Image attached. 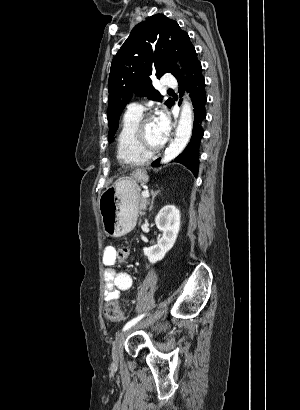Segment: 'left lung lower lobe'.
Instances as JSON below:
<instances>
[{
    "label": "left lung lower lobe",
    "mask_w": 300,
    "mask_h": 410,
    "mask_svg": "<svg viewBox=\"0 0 300 410\" xmlns=\"http://www.w3.org/2000/svg\"><path fill=\"white\" fill-rule=\"evenodd\" d=\"M186 73L188 75L186 77V88L191 92L190 97L194 107L193 134L188 146L174 159V162L183 164L190 169L195 176H197L199 168V145L201 138L204 135L202 123L206 118L205 104L207 98L205 93V80L202 75V66L196 53L192 56ZM177 81L179 84V91L182 93L184 89L183 77H179ZM159 160L160 159L153 162L152 165L158 166Z\"/></svg>",
    "instance_id": "1"
}]
</instances>
